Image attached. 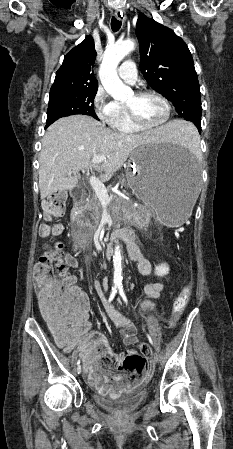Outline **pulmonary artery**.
<instances>
[{"mask_svg": "<svg viewBox=\"0 0 233 449\" xmlns=\"http://www.w3.org/2000/svg\"><path fill=\"white\" fill-rule=\"evenodd\" d=\"M119 77L128 84H135L137 80L136 65L131 60L124 61L119 68Z\"/></svg>", "mask_w": 233, "mask_h": 449, "instance_id": "pulmonary-artery-1", "label": "pulmonary artery"}]
</instances>
